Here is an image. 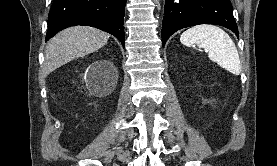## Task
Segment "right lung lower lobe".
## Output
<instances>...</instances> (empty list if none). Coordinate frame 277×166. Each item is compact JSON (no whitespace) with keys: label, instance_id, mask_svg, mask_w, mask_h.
<instances>
[{"label":"right lung lower lobe","instance_id":"98d812e1","mask_svg":"<svg viewBox=\"0 0 277 166\" xmlns=\"http://www.w3.org/2000/svg\"><path fill=\"white\" fill-rule=\"evenodd\" d=\"M125 4L126 0H53L46 41L66 27L85 25L114 35L124 46Z\"/></svg>","mask_w":277,"mask_h":166}]
</instances>
